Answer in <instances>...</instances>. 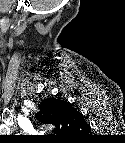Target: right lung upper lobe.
<instances>
[{
	"instance_id": "right-lung-upper-lobe-1",
	"label": "right lung upper lobe",
	"mask_w": 125,
	"mask_h": 143,
	"mask_svg": "<svg viewBox=\"0 0 125 143\" xmlns=\"http://www.w3.org/2000/svg\"><path fill=\"white\" fill-rule=\"evenodd\" d=\"M36 117L43 123L55 125L56 134L78 136L91 130L80 112L69 102L56 98L44 100L39 106Z\"/></svg>"
}]
</instances>
